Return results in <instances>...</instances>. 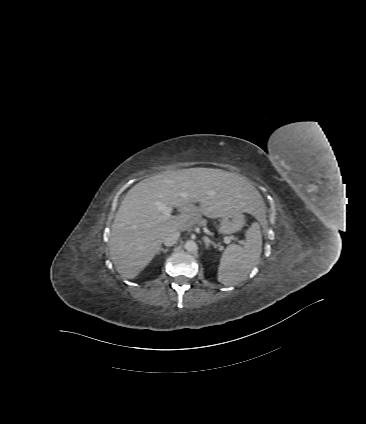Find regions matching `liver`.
Instances as JSON below:
<instances>
[{"label":"liver","mask_w":366,"mask_h":424,"mask_svg":"<svg viewBox=\"0 0 366 424\" xmlns=\"http://www.w3.org/2000/svg\"><path fill=\"white\" fill-rule=\"evenodd\" d=\"M158 202L182 211L165 217ZM264 211L260 193L238 174L211 168L163 172L126 194L112 224L110 257L118 273L133 279L154 258L169 231H190L203 215L216 219L246 212L258 219Z\"/></svg>","instance_id":"liver-1"}]
</instances>
